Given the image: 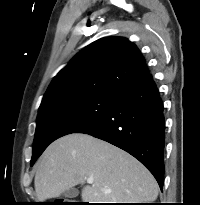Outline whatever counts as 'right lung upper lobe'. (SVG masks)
I'll return each mask as SVG.
<instances>
[{"label":"right lung upper lobe","mask_w":200,"mask_h":205,"mask_svg":"<svg viewBox=\"0 0 200 205\" xmlns=\"http://www.w3.org/2000/svg\"><path fill=\"white\" fill-rule=\"evenodd\" d=\"M149 74L139 49L126 38L99 39L80 51L49 85L39 110L77 96L116 98Z\"/></svg>","instance_id":"obj_1"}]
</instances>
